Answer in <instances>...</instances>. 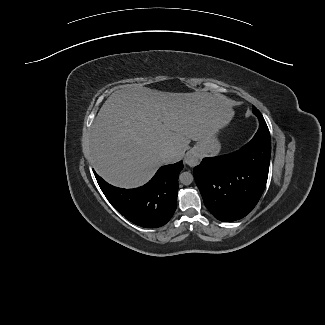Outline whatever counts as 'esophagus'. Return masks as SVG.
<instances>
[{
  "instance_id": "obj_1",
  "label": "esophagus",
  "mask_w": 325,
  "mask_h": 325,
  "mask_svg": "<svg viewBox=\"0 0 325 325\" xmlns=\"http://www.w3.org/2000/svg\"><path fill=\"white\" fill-rule=\"evenodd\" d=\"M184 161L190 167L196 166L198 164V162H199L198 152L195 149H190L186 153Z\"/></svg>"
}]
</instances>
